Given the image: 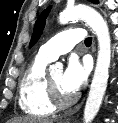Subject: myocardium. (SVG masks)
I'll return each mask as SVG.
<instances>
[{"mask_svg": "<svg viewBox=\"0 0 118 123\" xmlns=\"http://www.w3.org/2000/svg\"><path fill=\"white\" fill-rule=\"evenodd\" d=\"M46 85H47V94H48L49 101L54 106L55 109L68 108L71 105H73L78 98L77 94H72L68 97H62L58 92L56 86L52 82L50 76H47L46 78Z\"/></svg>", "mask_w": 118, "mask_h": 123, "instance_id": "1", "label": "myocardium"}]
</instances>
